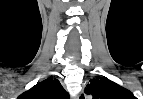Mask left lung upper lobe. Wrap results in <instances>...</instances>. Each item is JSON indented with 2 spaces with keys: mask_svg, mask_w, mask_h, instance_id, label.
I'll return each mask as SVG.
<instances>
[{
  "mask_svg": "<svg viewBox=\"0 0 143 99\" xmlns=\"http://www.w3.org/2000/svg\"><path fill=\"white\" fill-rule=\"evenodd\" d=\"M85 93L92 99H137L132 92L105 77L91 79Z\"/></svg>",
  "mask_w": 143,
  "mask_h": 99,
  "instance_id": "5c2ea615",
  "label": "left lung upper lobe"
}]
</instances>
